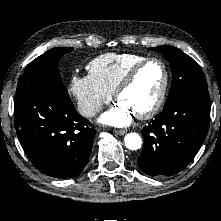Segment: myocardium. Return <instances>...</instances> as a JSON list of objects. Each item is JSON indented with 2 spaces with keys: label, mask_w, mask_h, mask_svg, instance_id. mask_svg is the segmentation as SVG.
<instances>
[{
  "label": "myocardium",
  "mask_w": 221,
  "mask_h": 221,
  "mask_svg": "<svg viewBox=\"0 0 221 221\" xmlns=\"http://www.w3.org/2000/svg\"><path fill=\"white\" fill-rule=\"evenodd\" d=\"M150 63H158L161 65L164 73V78L159 95L154 104L146 111L136 114V117L139 119H149L155 116L162 108L166 99L170 81V73L167 64L162 59L155 57L143 60L128 71V73L123 77V79L120 81V83L114 91V98L118 100L121 93L124 92L134 82L139 72Z\"/></svg>",
  "instance_id": "obj_1"
}]
</instances>
